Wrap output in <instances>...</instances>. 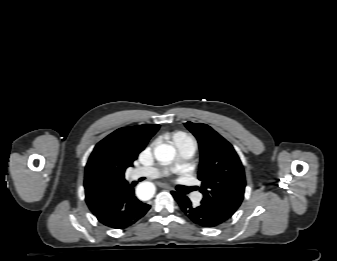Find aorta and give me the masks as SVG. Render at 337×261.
I'll list each match as a JSON object with an SVG mask.
<instances>
[{
  "label": "aorta",
  "instance_id": "762f6f07",
  "mask_svg": "<svg viewBox=\"0 0 337 261\" xmlns=\"http://www.w3.org/2000/svg\"><path fill=\"white\" fill-rule=\"evenodd\" d=\"M176 155V150L168 144H160L154 148V156L162 164L170 163ZM155 186L151 182H142L136 188L137 196L142 200H148L153 197Z\"/></svg>",
  "mask_w": 337,
  "mask_h": 261
}]
</instances>
